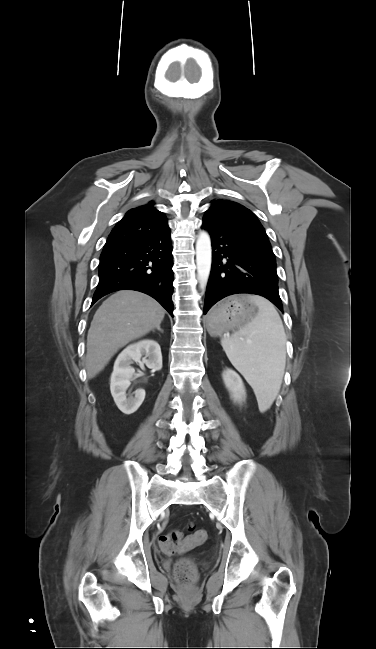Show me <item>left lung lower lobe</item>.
<instances>
[{"mask_svg":"<svg viewBox=\"0 0 376 649\" xmlns=\"http://www.w3.org/2000/svg\"><path fill=\"white\" fill-rule=\"evenodd\" d=\"M202 227L211 236L213 250L204 314L219 300L238 293L263 296L283 312L270 244L207 215Z\"/></svg>","mask_w":376,"mask_h":649,"instance_id":"1","label":"left lung lower lobe"}]
</instances>
